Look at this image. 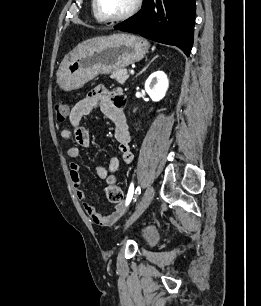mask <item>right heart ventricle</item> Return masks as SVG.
Returning <instances> with one entry per match:
<instances>
[{
	"label": "right heart ventricle",
	"mask_w": 261,
	"mask_h": 306,
	"mask_svg": "<svg viewBox=\"0 0 261 306\" xmlns=\"http://www.w3.org/2000/svg\"><path fill=\"white\" fill-rule=\"evenodd\" d=\"M92 7H93V0H92ZM93 13H94V10H93ZM94 16H95V18H96L98 21H101V20L96 16L95 13H94Z\"/></svg>",
	"instance_id": "e07e8e85"
}]
</instances>
